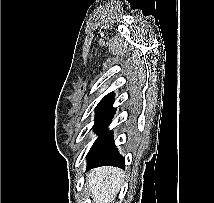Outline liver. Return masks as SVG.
Wrapping results in <instances>:
<instances>
[{"instance_id":"obj_1","label":"liver","mask_w":214,"mask_h":203,"mask_svg":"<svg viewBox=\"0 0 214 203\" xmlns=\"http://www.w3.org/2000/svg\"><path fill=\"white\" fill-rule=\"evenodd\" d=\"M124 172L114 167H99L87 176V187L94 203H110L119 191Z\"/></svg>"}]
</instances>
